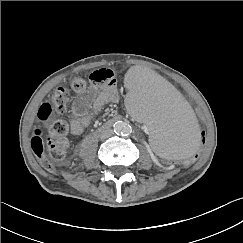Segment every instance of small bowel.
<instances>
[{"instance_id": "c3829d8e", "label": "small bowel", "mask_w": 243, "mask_h": 243, "mask_svg": "<svg viewBox=\"0 0 243 243\" xmlns=\"http://www.w3.org/2000/svg\"><path fill=\"white\" fill-rule=\"evenodd\" d=\"M118 100L116 79L108 85L91 83L89 89L80 93L73 102L70 118L71 134L80 135L106 104L117 103Z\"/></svg>"}]
</instances>
